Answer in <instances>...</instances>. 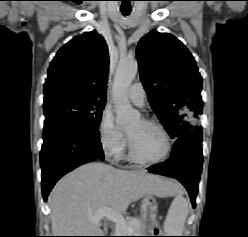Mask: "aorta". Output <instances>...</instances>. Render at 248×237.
I'll use <instances>...</instances> for the list:
<instances>
[{
  "mask_svg": "<svg viewBox=\"0 0 248 237\" xmlns=\"http://www.w3.org/2000/svg\"><path fill=\"white\" fill-rule=\"evenodd\" d=\"M138 71L137 61L134 59L121 60L113 83V103L116 112V123L127 127L139 119L138 111L134 110L127 97V90Z\"/></svg>",
  "mask_w": 248,
  "mask_h": 237,
  "instance_id": "obj_1",
  "label": "aorta"
}]
</instances>
